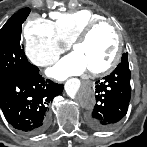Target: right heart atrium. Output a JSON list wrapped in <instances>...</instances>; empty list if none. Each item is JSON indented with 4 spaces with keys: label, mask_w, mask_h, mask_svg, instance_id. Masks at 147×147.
Wrapping results in <instances>:
<instances>
[{
    "label": "right heart atrium",
    "mask_w": 147,
    "mask_h": 147,
    "mask_svg": "<svg viewBox=\"0 0 147 147\" xmlns=\"http://www.w3.org/2000/svg\"><path fill=\"white\" fill-rule=\"evenodd\" d=\"M25 53L27 58L38 67H47L59 57L62 47L55 36L51 21L33 16L23 29Z\"/></svg>",
    "instance_id": "1"
}]
</instances>
